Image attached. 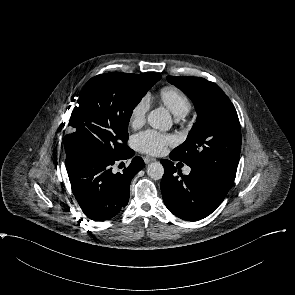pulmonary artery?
I'll list each match as a JSON object with an SVG mask.
<instances>
[{
	"label": "pulmonary artery",
	"mask_w": 295,
	"mask_h": 295,
	"mask_svg": "<svg viewBox=\"0 0 295 295\" xmlns=\"http://www.w3.org/2000/svg\"><path fill=\"white\" fill-rule=\"evenodd\" d=\"M190 171H191V169H190L189 167H186V168L184 169V173H185V174H189Z\"/></svg>",
	"instance_id": "1"
}]
</instances>
